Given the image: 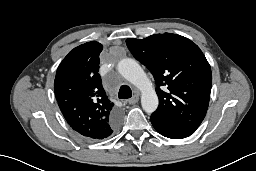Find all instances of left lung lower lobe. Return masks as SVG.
I'll use <instances>...</instances> for the list:
<instances>
[{"label":"left lung lower lobe","mask_w":256,"mask_h":171,"mask_svg":"<svg viewBox=\"0 0 256 171\" xmlns=\"http://www.w3.org/2000/svg\"><path fill=\"white\" fill-rule=\"evenodd\" d=\"M151 122L156 131L165 137L172 139H182L187 137V135L177 131L172 125L165 123L164 121L151 117Z\"/></svg>","instance_id":"left-lung-lower-lobe-1"}]
</instances>
